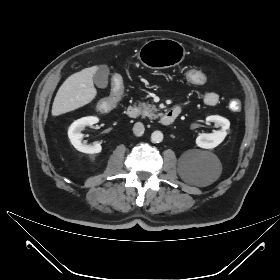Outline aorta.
<instances>
[{"mask_svg": "<svg viewBox=\"0 0 280 280\" xmlns=\"http://www.w3.org/2000/svg\"><path fill=\"white\" fill-rule=\"evenodd\" d=\"M163 140V133L161 131H154L152 134H151V141L153 143H159Z\"/></svg>", "mask_w": 280, "mask_h": 280, "instance_id": "obj_1", "label": "aorta"}]
</instances>
